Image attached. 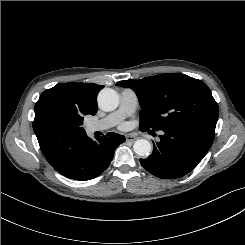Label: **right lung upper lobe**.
Instances as JSON below:
<instances>
[{
	"mask_svg": "<svg viewBox=\"0 0 245 245\" xmlns=\"http://www.w3.org/2000/svg\"><path fill=\"white\" fill-rule=\"evenodd\" d=\"M104 86L93 83H63L45 90L35 104V119L33 130L37 136L41 151L45 158L51 159L57 145L66 137H75L86 134L80 127L71 135H59L48 129L42 120V111L49 103H57L78 118L84 115H95L98 107L96 97Z\"/></svg>",
	"mask_w": 245,
	"mask_h": 245,
	"instance_id": "right-lung-upper-lobe-1",
	"label": "right lung upper lobe"
}]
</instances>
